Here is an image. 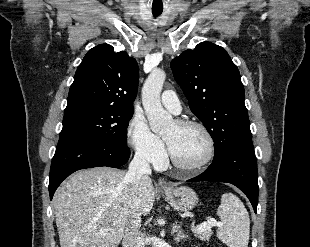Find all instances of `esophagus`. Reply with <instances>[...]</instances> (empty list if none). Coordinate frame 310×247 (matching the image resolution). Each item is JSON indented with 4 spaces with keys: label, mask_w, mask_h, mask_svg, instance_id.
<instances>
[{
    "label": "esophagus",
    "mask_w": 310,
    "mask_h": 247,
    "mask_svg": "<svg viewBox=\"0 0 310 247\" xmlns=\"http://www.w3.org/2000/svg\"><path fill=\"white\" fill-rule=\"evenodd\" d=\"M158 184H159V187L163 190L168 188L167 182L162 178L159 179Z\"/></svg>",
    "instance_id": "34e87169"
}]
</instances>
